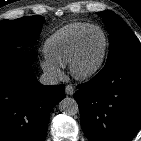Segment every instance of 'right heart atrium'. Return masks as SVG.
<instances>
[{"mask_svg": "<svg viewBox=\"0 0 141 141\" xmlns=\"http://www.w3.org/2000/svg\"><path fill=\"white\" fill-rule=\"evenodd\" d=\"M41 67L45 73L53 78H59L62 76V69L61 66L50 60L49 58L45 57L41 61Z\"/></svg>", "mask_w": 141, "mask_h": 141, "instance_id": "obj_1", "label": "right heart atrium"}]
</instances>
